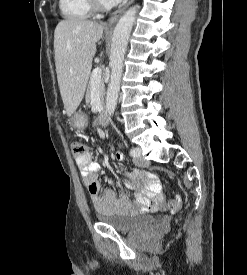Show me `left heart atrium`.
I'll return each mask as SVG.
<instances>
[{
  "mask_svg": "<svg viewBox=\"0 0 247 275\" xmlns=\"http://www.w3.org/2000/svg\"><path fill=\"white\" fill-rule=\"evenodd\" d=\"M121 1H122V0H108V2H109L110 4H112V5L117 4V3L121 2Z\"/></svg>",
  "mask_w": 247,
  "mask_h": 275,
  "instance_id": "obj_1",
  "label": "left heart atrium"
}]
</instances>
